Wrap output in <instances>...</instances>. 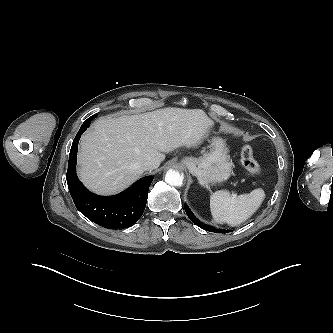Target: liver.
<instances>
[{
    "mask_svg": "<svg viewBox=\"0 0 333 333\" xmlns=\"http://www.w3.org/2000/svg\"><path fill=\"white\" fill-rule=\"evenodd\" d=\"M212 128L201 110L163 108L153 112L98 119L81 138L78 174L91 191L112 195L138 180L141 163H159L181 146L196 147Z\"/></svg>",
    "mask_w": 333,
    "mask_h": 333,
    "instance_id": "6515ba94",
    "label": "liver"
}]
</instances>
